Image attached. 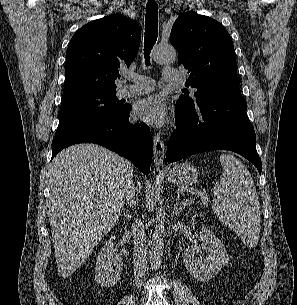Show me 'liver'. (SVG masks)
Here are the masks:
<instances>
[{
  "label": "liver",
  "mask_w": 297,
  "mask_h": 305,
  "mask_svg": "<svg viewBox=\"0 0 297 305\" xmlns=\"http://www.w3.org/2000/svg\"><path fill=\"white\" fill-rule=\"evenodd\" d=\"M48 216L61 277L71 276L116 224L132 184L131 163L96 144L62 150L50 163Z\"/></svg>",
  "instance_id": "6515ba94"
}]
</instances>
